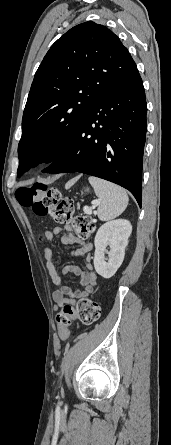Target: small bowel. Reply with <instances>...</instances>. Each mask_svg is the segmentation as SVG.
<instances>
[{"mask_svg": "<svg viewBox=\"0 0 171 445\" xmlns=\"http://www.w3.org/2000/svg\"><path fill=\"white\" fill-rule=\"evenodd\" d=\"M60 236V241L63 245L68 246L76 242V238L74 234L71 232L70 227H54L53 229L46 231L42 234L41 238L44 241L47 242H53L56 237ZM82 249L76 252V255L82 256L85 264L86 269H82L81 267L77 265H66L63 268V274L64 275H74L78 276L80 279V285L84 288L83 290H72L70 287L66 286L63 282L62 277L58 274L56 267H55V258L54 254L51 249L45 248L43 250L44 259L46 261V267L49 273V276L52 280V282L58 286V289L55 290L52 293V299L55 304V308H63L65 306H71L73 307L76 304V300L82 297L88 296L93 288L96 285V274L92 270V263H91V255L88 253L90 249V245L81 242ZM60 335L63 338L69 337V330L68 328L61 329L58 328Z\"/></svg>", "mask_w": 171, "mask_h": 445, "instance_id": "1", "label": "small bowel"}]
</instances>
